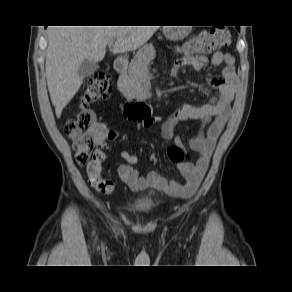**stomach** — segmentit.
I'll return each instance as SVG.
<instances>
[{
    "mask_svg": "<svg viewBox=\"0 0 292 292\" xmlns=\"http://www.w3.org/2000/svg\"><path fill=\"white\" fill-rule=\"evenodd\" d=\"M185 36V32L180 29L170 30L169 33H167V38H169L170 40H181Z\"/></svg>",
    "mask_w": 292,
    "mask_h": 292,
    "instance_id": "0dacf381",
    "label": "stomach"
}]
</instances>
